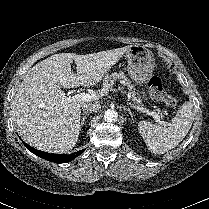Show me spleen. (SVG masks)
<instances>
[{
	"mask_svg": "<svg viewBox=\"0 0 209 209\" xmlns=\"http://www.w3.org/2000/svg\"><path fill=\"white\" fill-rule=\"evenodd\" d=\"M194 117L193 105L187 101L177 111L168 126H158L151 122L140 121L138 129L149 150L154 154H163L175 148L185 138Z\"/></svg>",
	"mask_w": 209,
	"mask_h": 209,
	"instance_id": "obj_1",
	"label": "spleen"
}]
</instances>
